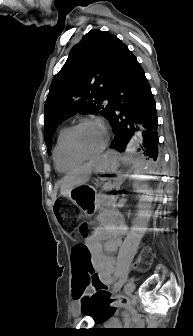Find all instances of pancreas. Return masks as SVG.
Returning <instances> with one entry per match:
<instances>
[{
  "label": "pancreas",
  "mask_w": 193,
  "mask_h": 336,
  "mask_svg": "<svg viewBox=\"0 0 193 336\" xmlns=\"http://www.w3.org/2000/svg\"><path fill=\"white\" fill-rule=\"evenodd\" d=\"M115 187H117V184L110 183L102 187L101 193L103 195H101V199L99 200V209L101 211H114L116 209V198L111 193L112 188Z\"/></svg>",
  "instance_id": "obj_1"
}]
</instances>
